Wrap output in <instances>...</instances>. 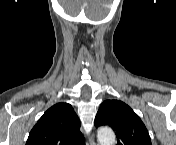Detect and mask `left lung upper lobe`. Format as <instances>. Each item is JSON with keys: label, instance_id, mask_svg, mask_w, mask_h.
<instances>
[{"label": "left lung upper lobe", "instance_id": "obj_1", "mask_svg": "<svg viewBox=\"0 0 176 145\" xmlns=\"http://www.w3.org/2000/svg\"><path fill=\"white\" fill-rule=\"evenodd\" d=\"M108 125L116 132L117 145H152L149 133L138 115L119 100L104 101L95 126Z\"/></svg>", "mask_w": 176, "mask_h": 145}]
</instances>
